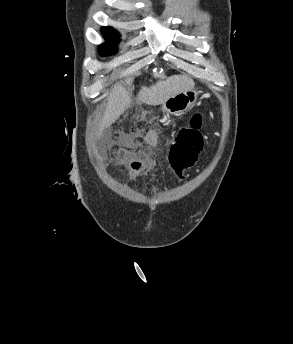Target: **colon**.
I'll list each match as a JSON object with an SVG mask.
<instances>
[{
	"label": "colon",
	"mask_w": 293,
	"mask_h": 344,
	"mask_svg": "<svg viewBox=\"0 0 293 344\" xmlns=\"http://www.w3.org/2000/svg\"><path fill=\"white\" fill-rule=\"evenodd\" d=\"M203 116L195 113L189 122L181 127L174 138L172 146V163L180 172L181 170L192 166L203 147V139L200 133ZM126 132L118 135L119 138H125ZM130 167L136 175H140L148 166L146 155L136 154L130 158Z\"/></svg>",
	"instance_id": "obj_1"
}]
</instances>
